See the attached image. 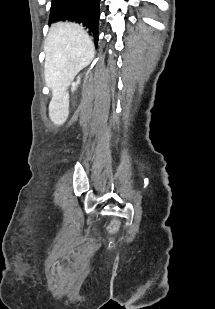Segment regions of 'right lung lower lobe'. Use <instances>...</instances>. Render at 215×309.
Segmentation results:
<instances>
[{"label":"right lung lower lobe","mask_w":215,"mask_h":309,"mask_svg":"<svg viewBox=\"0 0 215 309\" xmlns=\"http://www.w3.org/2000/svg\"><path fill=\"white\" fill-rule=\"evenodd\" d=\"M100 0H52L49 23L58 21L75 22L88 31L98 43Z\"/></svg>","instance_id":"98d812e1"}]
</instances>
